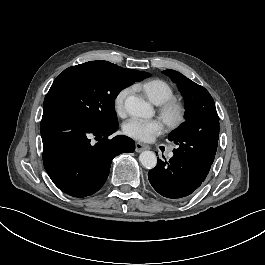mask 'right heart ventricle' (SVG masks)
<instances>
[{"mask_svg": "<svg viewBox=\"0 0 265 265\" xmlns=\"http://www.w3.org/2000/svg\"><path fill=\"white\" fill-rule=\"evenodd\" d=\"M152 103L160 105L174 96L171 85L161 78H147L134 84Z\"/></svg>", "mask_w": 265, "mask_h": 265, "instance_id": "obj_1", "label": "right heart ventricle"}]
</instances>
